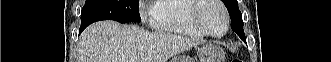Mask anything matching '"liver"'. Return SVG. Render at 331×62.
Masks as SVG:
<instances>
[{
	"label": "liver",
	"instance_id": "liver-1",
	"mask_svg": "<svg viewBox=\"0 0 331 62\" xmlns=\"http://www.w3.org/2000/svg\"><path fill=\"white\" fill-rule=\"evenodd\" d=\"M199 44L196 39L106 20L86 28L78 48L80 62H167Z\"/></svg>",
	"mask_w": 331,
	"mask_h": 62
}]
</instances>
